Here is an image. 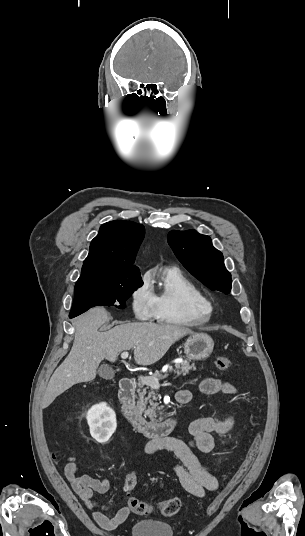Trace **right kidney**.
I'll return each instance as SVG.
<instances>
[{"mask_svg": "<svg viewBox=\"0 0 305 536\" xmlns=\"http://www.w3.org/2000/svg\"><path fill=\"white\" fill-rule=\"evenodd\" d=\"M87 422L92 438L100 444L108 442L117 428L116 414L106 404L93 406L87 414Z\"/></svg>", "mask_w": 305, "mask_h": 536, "instance_id": "ca27d5eb", "label": "right kidney"}]
</instances>
